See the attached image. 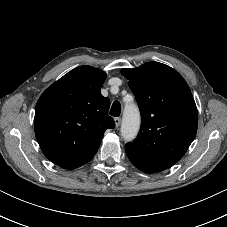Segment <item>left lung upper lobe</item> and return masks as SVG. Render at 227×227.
<instances>
[{"label": "left lung upper lobe", "mask_w": 227, "mask_h": 227, "mask_svg": "<svg viewBox=\"0 0 227 227\" xmlns=\"http://www.w3.org/2000/svg\"><path fill=\"white\" fill-rule=\"evenodd\" d=\"M121 73L129 80L142 116L137 138L125 146L126 155L146 173L170 168L197 132L198 113L189 86L176 70L158 62Z\"/></svg>", "instance_id": "1"}]
</instances>
